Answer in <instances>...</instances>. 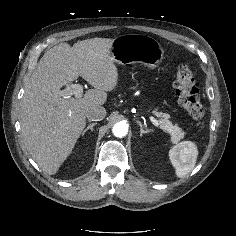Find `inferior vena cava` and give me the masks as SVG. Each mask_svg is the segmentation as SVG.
Returning <instances> with one entry per match:
<instances>
[{
  "label": "inferior vena cava",
  "mask_w": 236,
  "mask_h": 236,
  "mask_svg": "<svg viewBox=\"0 0 236 236\" xmlns=\"http://www.w3.org/2000/svg\"><path fill=\"white\" fill-rule=\"evenodd\" d=\"M105 116L106 110L102 106L92 107L86 113L87 119L91 121H101L105 118Z\"/></svg>",
  "instance_id": "obj_1"
}]
</instances>
